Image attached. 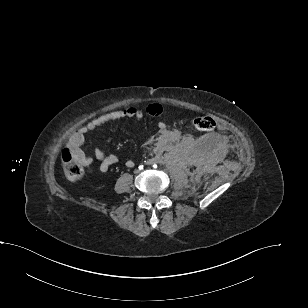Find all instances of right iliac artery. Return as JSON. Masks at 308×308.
<instances>
[{
    "mask_svg": "<svg viewBox=\"0 0 308 308\" xmlns=\"http://www.w3.org/2000/svg\"><path fill=\"white\" fill-rule=\"evenodd\" d=\"M139 169H143V165L139 166Z\"/></svg>",
    "mask_w": 308,
    "mask_h": 308,
    "instance_id": "1",
    "label": "right iliac artery"
}]
</instances>
